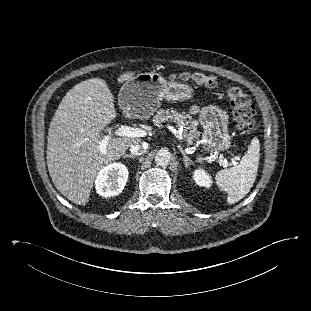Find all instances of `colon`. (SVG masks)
I'll list each match as a JSON object with an SVG mask.
<instances>
[{
  "instance_id": "obj_1",
  "label": "colon",
  "mask_w": 311,
  "mask_h": 311,
  "mask_svg": "<svg viewBox=\"0 0 311 311\" xmlns=\"http://www.w3.org/2000/svg\"><path fill=\"white\" fill-rule=\"evenodd\" d=\"M178 78L180 80L193 82L208 88H214L217 86V79L215 76L202 72L184 73L179 75ZM227 94L233 109V124L235 128L240 131H250L255 129L256 109L250 96L238 86L230 87Z\"/></svg>"
}]
</instances>
